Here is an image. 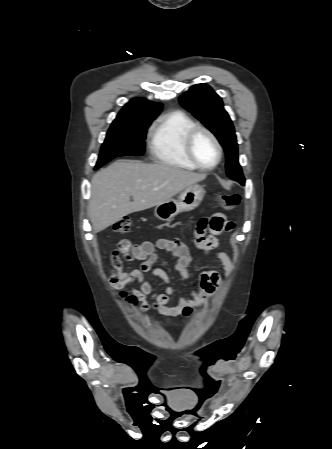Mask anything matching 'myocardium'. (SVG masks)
I'll return each mask as SVG.
<instances>
[{
  "instance_id": "f54148a6",
  "label": "myocardium",
  "mask_w": 332,
  "mask_h": 449,
  "mask_svg": "<svg viewBox=\"0 0 332 449\" xmlns=\"http://www.w3.org/2000/svg\"><path fill=\"white\" fill-rule=\"evenodd\" d=\"M201 132L205 133L213 141V143L217 149V159L210 166H205V165L201 164L198 161V159L196 158L194 151H193V141H194L196 135ZM184 151H185V154L187 155L188 159L191 161V163L194 164L197 168H199L201 170H212V169L216 168L219 165V163L222 159V155H223V149H222L221 143L218 140V138L216 137V135L209 128H207L205 126H201V125H195L186 133L185 138H184Z\"/></svg>"
}]
</instances>
